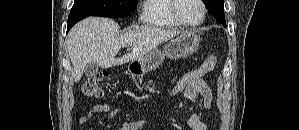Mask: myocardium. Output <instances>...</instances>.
I'll return each mask as SVG.
<instances>
[{
  "label": "myocardium",
  "mask_w": 299,
  "mask_h": 130,
  "mask_svg": "<svg viewBox=\"0 0 299 130\" xmlns=\"http://www.w3.org/2000/svg\"><path fill=\"white\" fill-rule=\"evenodd\" d=\"M178 2H179V0H171V12H172L173 17L179 24H181L182 26L188 27V28H196V27L201 26L204 23V21L206 19V15H207V8H206L204 0H198L200 6L202 8V17L196 23L187 22L186 20H184L181 17V15L179 14V11H178Z\"/></svg>",
  "instance_id": "obj_1"
}]
</instances>
